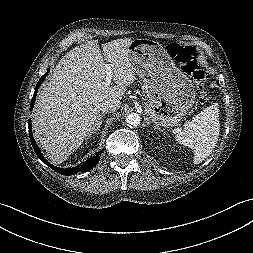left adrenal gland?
Masks as SVG:
<instances>
[{"mask_svg":"<svg viewBox=\"0 0 253 253\" xmlns=\"http://www.w3.org/2000/svg\"><path fill=\"white\" fill-rule=\"evenodd\" d=\"M155 129L165 133V131L163 129L159 128L158 126H155Z\"/></svg>","mask_w":253,"mask_h":253,"instance_id":"a2214340","label":"left adrenal gland"}]
</instances>
